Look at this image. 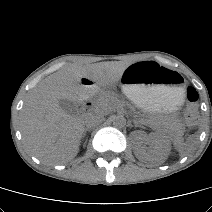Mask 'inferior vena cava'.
I'll list each match as a JSON object with an SVG mask.
<instances>
[{"label":"inferior vena cava","instance_id":"obj_1","mask_svg":"<svg viewBox=\"0 0 212 212\" xmlns=\"http://www.w3.org/2000/svg\"><path fill=\"white\" fill-rule=\"evenodd\" d=\"M104 121V116L100 111L88 112L84 116V123L87 128H92Z\"/></svg>","mask_w":212,"mask_h":212}]
</instances>
